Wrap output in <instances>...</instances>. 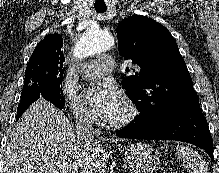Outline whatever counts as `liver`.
<instances>
[{"label":"liver","mask_w":219,"mask_h":173,"mask_svg":"<svg viewBox=\"0 0 219 173\" xmlns=\"http://www.w3.org/2000/svg\"><path fill=\"white\" fill-rule=\"evenodd\" d=\"M107 158L100 140L78 142L63 112L40 98L9 136L3 173H105Z\"/></svg>","instance_id":"obj_1"}]
</instances>
